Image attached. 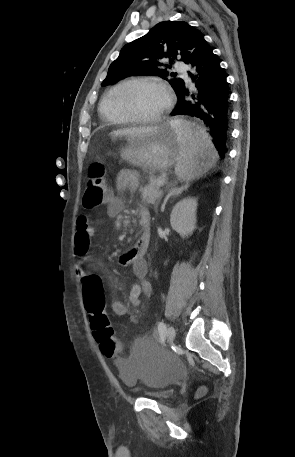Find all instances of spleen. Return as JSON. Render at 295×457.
Wrapping results in <instances>:
<instances>
[{
    "instance_id": "spleen-1",
    "label": "spleen",
    "mask_w": 295,
    "mask_h": 457,
    "mask_svg": "<svg viewBox=\"0 0 295 457\" xmlns=\"http://www.w3.org/2000/svg\"><path fill=\"white\" fill-rule=\"evenodd\" d=\"M170 125L176 130L180 157L175 166V174L181 180H193L212 167L218 154L206 129L184 120H172ZM210 159L212 162L208 163Z\"/></svg>"
}]
</instances>
